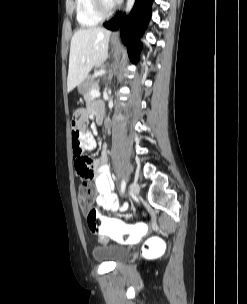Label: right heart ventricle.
<instances>
[{"instance_id": "1", "label": "right heart ventricle", "mask_w": 247, "mask_h": 304, "mask_svg": "<svg viewBox=\"0 0 247 304\" xmlns=\"http://www.w3.org/2000/svg\"><path fill=\"white\" fill-rule=\"evenodd\" d=\"M75 10L77 22L82 27H93L101 21L93 11L92 0H75Z\"/></svg>"}]
</instances>
